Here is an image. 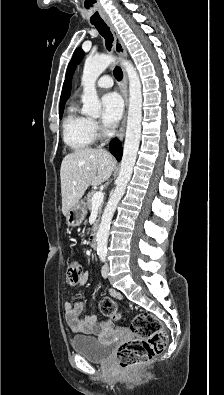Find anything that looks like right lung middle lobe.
<instances>
[{
    "instance_id": "obj_1",
    "label": "right lung middle lobe",
    "mask_w": 224,
    "mask_h": 395,
    "mask_svg": "<svg viewBox=\"0 0 224 395\" xmlns=\"http://www.w3.org/2000/svg\"><path fill=\"white\" fill-rule=\"evenodd\" d=\"M59 115H60V119H61V118H62V115H63V110H60Z\"/></svg>"
}]
</instances>
